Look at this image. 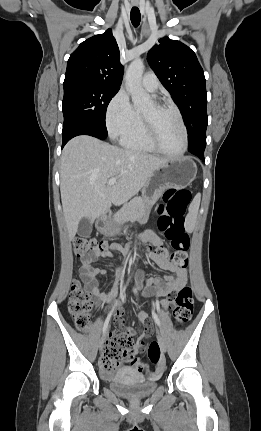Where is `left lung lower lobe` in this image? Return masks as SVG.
<instances>
[{"mask_svg": "<svg viewBox=\"0 0 261 431\" xmlns=\"http://www.w3.org/2000/svg\"><path fill=\"white\" fill-rule=\"evenodd\" d=\"M190 153L198 156L201 160L204 161V150L202 149H194V150H190Z\"/></svg>", "mask_w": 261, "mask_h": 431, "instance_id": "1", "label": "left lung lower lobe"}]
</instances>
